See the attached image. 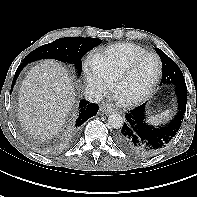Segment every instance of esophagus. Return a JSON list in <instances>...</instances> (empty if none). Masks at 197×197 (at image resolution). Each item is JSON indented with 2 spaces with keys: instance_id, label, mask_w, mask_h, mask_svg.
Returning a JSON list of instances; mask_svg holds the SVG:
<instances>
[{
  "instance_id": "esophagus-1",
  "label": "esophagus",
  "mask_w": 197,
  "mask_h": 197,
  "mask_svg": "<svg viewBox=\"0 0 197 197\" xmlns=\"http://www.w3.org/2000/svg\"><path fill=\"white\" fill-rule=\"evenodd\" d=\"M100 111L103 113V114H110L111 112L114 111L113 107H111L110 105H102L100 107Z\"/></svg>"
}]
</instances>
